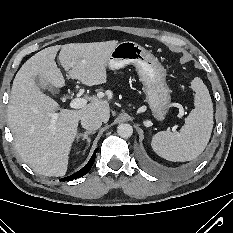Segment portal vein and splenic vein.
I'll use <instances>...</instances> for the list:
<instances>
[{
  "label": "portal vein and splenic vein",
  "instance_id": "1",
  "mask_svg": "<svg viewBox=\"0 0 233 233\" xmlns=\"http://www.w3.org/2000/svg\"><path fill=\"white\" fill-rule=\"evenodd\" d=\"M87 105V100L85 98H74L71 103H70V107L73 109H80L83 108ZM58 118V113H53L51 115V122L54 125L56 120Z\"/></svg>",
  "mask_w": 233,
  "mask_h": 233
}]
</instances>
